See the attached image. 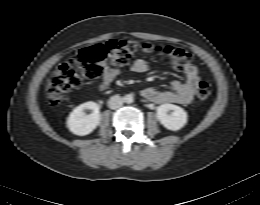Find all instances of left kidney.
Masks as SVG:
<instances>
[{
  "instance_id": "left-kidney-1",
  "label": "left kidney",
  "mask_w": 260,
  "mask_h": 205,
  "mask_svg": "<svg viewBox=\"0 0 260 205\" xmlns=\"http://www.w3.org/2000/svg\"><path fill=\"white\" fill-rule=\"evenodd\" d=\"M157 119L171 131H178L187 123L186 111L173 104H162L157 107Z\"/></svg>"
}]
</instances>
